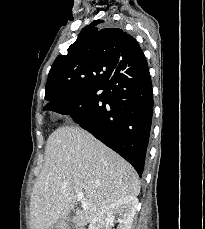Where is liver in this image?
Returning a JSON list of instances; mask_svg holds the SVG:
<instances>
[{
    "label": "liver",
    "mask_w": 205,
    "mask_h": 229,
    "mask_svg": "<svg viewBox=\"0 0 205 229\" xmlns=\"http://www.w3.org/2000/svg\"><path fill=\"white\" fill-rule=\"evenodd\" d=\"M84 193L74 223L85 226L112 203L140 193L134 168L116 152L78 126L53 132L45 150L43 169L30 200L32 229H48L74 208Z\"/></svg>",
    "instance_id": "6515ba94"
}]
</instances>
